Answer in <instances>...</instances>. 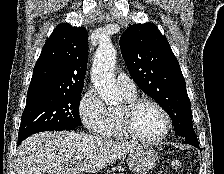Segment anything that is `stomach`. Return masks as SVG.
<instances>
[{"mask_svg": "<svg viewBox=\"0 0 224 174\" xmlns=\"http://www.w3.org/2000/svg\"><path fill=\"white\" fill-rule=\"evenodd\" d=\"M159 160L157 152L147 145L138 146L127 157V164L137 174H146Z\"/></svg>", "mask_w": 224, "mask_h": 174, "instance_id": "stomach-1", "label": "stomach"}]
</instances>
